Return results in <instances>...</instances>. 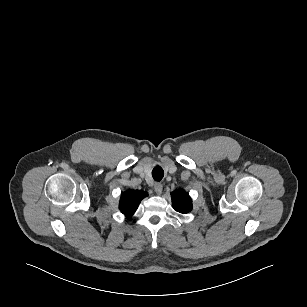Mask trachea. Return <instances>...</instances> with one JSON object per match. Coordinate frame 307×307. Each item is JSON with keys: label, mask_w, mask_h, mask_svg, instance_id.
Instances as JSON below:
<instances>
[{"label": "trachea", "mask_w": 307, "mask_h": 307, "mask_svg": "<svg viewBox=\"0 0 307 307\" xmlns=\"http://www.w3.org/2000/svg\"><path fill=\"white\" fill-rule=\"evenodd\" d=\"M164 176V171L160 166H156L152 170V177L155 181H160Z\"/></svg>", "instance_id": "obj_1"}]
</instances>
